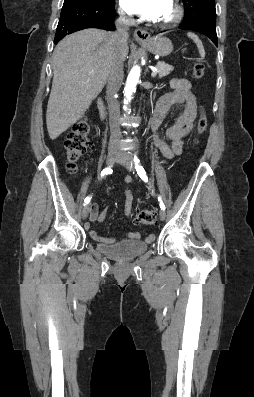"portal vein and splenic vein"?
I'll use <instances>...</instances> for the list:
<instances>
[{"label": "portal vein and splenic vein", "mask_w": 254, "mask_h": 397, "mask_svg": "<svg viewBox=\"0 0 254 397\" xmlns=\"http://www.w3.org/2000/svg\"><path fill=\"white\" fill-rule=\"evenodd\" d=\"M157 72H158V70H157V69H154L153 72H152V77H155L156 74H157Z\"/></svg>", "instance_id": "portal-vein-and-splenic-vein-1"}]
</instances>
